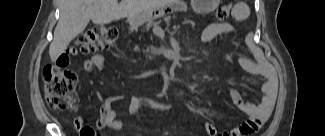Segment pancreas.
Here are the masks:
<instances>
[{
  "mask_svg": "<svg viewBox=\"0 0 325 136\" xmlns=\"http://www.w3.org/2000/svg\"><path fill=\"white\" fill-rule=\"evenodd\" d=\"M180 15L178 14V13H172L171 12V14L170 15H168V17H165V18H160V19H155V18H153V19H151V23L150 22H148L147 24H144L143 25V27L140 29V32L142 33V34H148V33H150V28H148V27H159L160 25H166V24H176L177 23V18L179 17Z\"/></svg>",
  "mask_w": 325,
  "mask_h": 136,
  "instance_id": "pancreas-1",
  "label": "pancreas"
}]
</instances>
